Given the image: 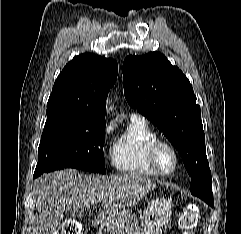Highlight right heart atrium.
Instances as JSON below:
<instances>
[{"label":"right heart atrium","mask_w":241,"mask_h":234,"mask_svg":"<svg viewBox=\"0 0 241 234\" xmlns=\"http://www.w3.org/2000/svg\"><path fill=\"white\" fill-rule=\"evenodd\" d=\"M111 132V128L109 126L105 127L104 134L108 135Z\"/></svg>","instance_id":"obj_1"}]
</instances>
